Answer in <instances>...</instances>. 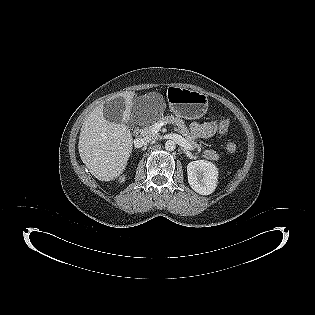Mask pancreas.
Returning a JSON list of instances; mask_svg holds the SVG:
<instances>
[{
	"label": "pancreas",
	"instance_id": "obj_1",
	"mask_svg": "<svg viewBox=\"0 0 315 315\" xmlns=\"http://www.w3.org/2000/svg\"><path fill=\"white\" fill-rule=\"evenodd\" d=\"M158 122H165V123H171L173 125H175L177 127V129L179 130V133L184 136L186 138V140L194 147L198 150V152L201 151V143L198 144L196 142L197 137L192 135L189 132V129L186 127L185 122L179 118V117H175L173 115L171 116H163L158 118ZM142 135L143 136H152V137H157L158 138V134L153 132V126H147L142 130ZM203 156L209 160L212 161H217L219 160V154L214 151V150H204L203 151Z\"/></svg>",
	"mask_w": 315,
	"mask_h": 315
}]
</instances>
